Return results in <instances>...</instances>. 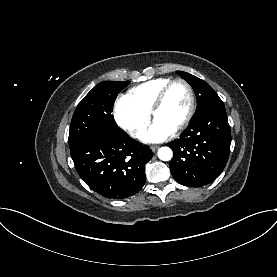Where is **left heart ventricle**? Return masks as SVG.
<instances>
[{
    "label": "left heart ventricle",
    "instance_id": "b2bd125f",
    "mask_svg": "<svg viewBox=\"0 0 277 277\" xmlns=\"http://www.w3.org/2000/svg\"><path fill=\"white\" fill-rule=\"evenodd\" d=\"M189 109V94L182 84L174 85L160 110L155 115V120H160L174 129L183 121Z\"/></svg>",
    "mask_w": 277,
    "mask_h": 277
}]
</instances>
